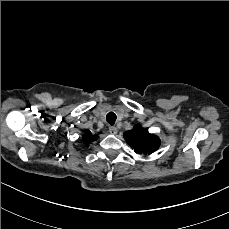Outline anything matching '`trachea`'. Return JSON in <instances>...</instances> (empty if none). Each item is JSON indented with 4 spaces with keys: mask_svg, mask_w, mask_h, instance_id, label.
<instances>
[{
    "mask_svg": "<svg viewBox=\"0 0 229 229\" xmlns=\"http://www.w3.org/2000/svg\"><path fill=\"white\" fill-rule=\"evenodd\" d=\"M106 120L110 125H114L115 121H116V114L113 112H109L106 115Z\"/></svg>",
    "mask_w": 229,
    "mask_h": 229,
    "instance_id": "1",
    "label": "trachea"
}]
</instances>
